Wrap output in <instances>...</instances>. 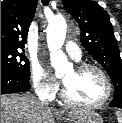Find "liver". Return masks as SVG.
Here are the masks:
<instances>
[{
    "label": "liver",
    "mask_w": 122,
    "mask_h": 123,
    "mask_svg": "<svg viewBox=\"0 0 122 123\" xmlns=\"http://www.w3.org/2000/svg\"><path fill=\"white\" fill-rule=\"evenodd\" d=\"M53 111L28 93L1 96V123H55ZM83 113L73 110L69 117L78 119Z\"/></svg>",
    "instance_id": "1"
}]
</instances>
